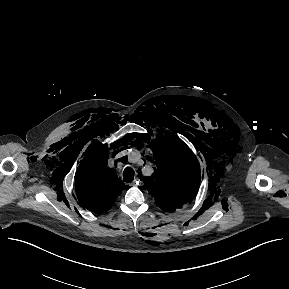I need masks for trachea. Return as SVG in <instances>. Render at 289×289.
I'll return each instance as SVG.
<instances>
[{
	"label": "trachea",
	"instance_id": "3493384b",
	"mask_svg": "<svg viewBox=\"0 0 289 289\" xmlns=\"http://www.w3.org/2000/svg\"><path fill=\"white\" fill-rule=\"evenodd\" d=\"M134 179V170L131 167H126L123 172V180L126 183L132 182Z\"/></svg>",
	"mask_w": 289,
	"mask_h": 289
}]
</instances>
